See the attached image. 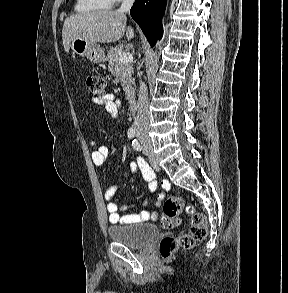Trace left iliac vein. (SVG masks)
<instances>
[{"instance_id":"obj_1","label":"left iliac vein","mask_w":288,"mask_h":293,"mask_svg":"<svg viewBox=\"0 0 288 293\" xmlns=\"http://www.w3.org/2000/svg\"><path fill=\"white\" fill-rule=\"evenodd\" d=\"M144 151L148 156H151L150 145L147 143L144 145Z\"/></svg>"}]
</instances>
